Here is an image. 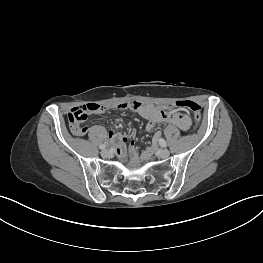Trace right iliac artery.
Here are the masks:
<instances>
[{
  "label": "right iliac artery",
  "instance_id": "1",
  "mask_svg": "<svg viewBox=\"0 0 263 263\" xmlns=\"http://www.w3.org/2000/svg\"><path fill=\"white\" fill-rule=\"evenodd\" d=\"M106 144H101V145H99V148L101 149V150H103V149H105L106 148Z\"/></svg>",
  "mask_w": 263,
  "mask_h": 263
}]
</instances>
